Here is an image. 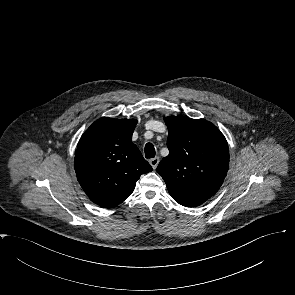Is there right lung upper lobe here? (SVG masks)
Instances as JSON below:
<instances>
[{"label":"right lung upper lobe","mask_w":295,"mask_h":295,"mask_svg":"<svg viewBox=\"0 0 295 295\" xmlns=\"http://www.w3.org/2000/svg\"><path fill=\"white\" fill-rule=\"evenodd\" d=\"M137 120L102 117L82 135L75 151L78 182L95 204L110 208L133 192L137 180L152 171L132 143Z\"/></svg>","instance_id":"right-lung-upper-lobe-1"}]
</instances>
